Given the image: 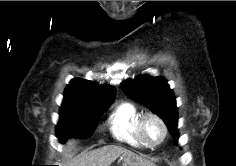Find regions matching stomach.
Listing matches in <instances>:
<instances>
[{
  "instance_id": "obj_1",
  "label": "stomach",
  "mask_w": 236,
  "mask_h": 166,
  "mask_svg": "<svg viewBox=\"0 0 236 166\" xmlns=\"http://www.w3.org/2000/svg\"><path fill=\"white\" fill-rule=\"evenodd\" d=\"M132 157H128V156H125L123 157V166H131L130 165V161H131Z\"/></svg>"
}]
</instances>
